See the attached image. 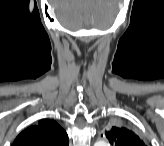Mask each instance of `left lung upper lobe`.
<instances>
[{
  "mask_svg": "<svg viewBox=\"0 0 164 146\" xmlns=\"http://www.w3.org/2000/svg\"><path fill=\"white\" fill-rule=\"evenodd\" d=\"M105 135L115 146H144L143 141L134 132L124 127H112Z\"/></svg>",
  "mask_w": 164,
  "mask_h": 146,
  "instance_id": "left-lung-upper-lobe-1",
  "label": "left lung upper lobe"
}]
</instances>
